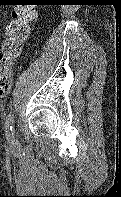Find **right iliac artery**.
<instances>
[{
	"instance_id": "1",
	"label": "right iliac artery",
	"mask_w": 121,
	"mask_h": 197,
	"mask_svg": "<svg viewBox=\"0 0 121 197\" xmlns=\"http://www.w3.org/2000/svg\"><path fill=\"white\" fill-rule=\"evenodd\" d=\"M13 122H14V115L9 114L6 122H5V132H6V137L8 140L13 138Z\"/></svg>"
}]
</instances>
